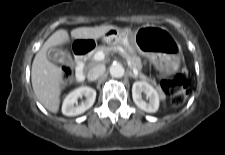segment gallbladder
Segmentation results:
<instances>
[{"mask_svg":"<svg viewBox=\"0 0 225 155\" xmlns=\"http://www.w3.org/2000/svg\"><path fill=\"white\" fill-rule=\"evenodd\" d=\"M47 57L49 58V60L55 63H62L67 65L74 64L70 54L57 47H50L47 51Z\"/></svg>","mask_w":225,"mask_h":155,"instance_id":"1","label":"gallbladder"}]
</instances>
